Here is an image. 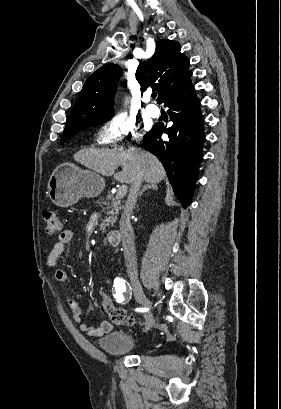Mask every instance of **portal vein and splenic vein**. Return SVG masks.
Masks as SVG:
<instances>
[{
	"label": "portal vein and splenic vein",
	"instance_id": "1",
	"mask_svg": "<svg viewBox=\"0 0 281 409\" xmlns=\"http://www.w3.org/2000/svg\"><path fill=\"white\" fill-rule=\"evenodd\" d=\"M128 185L129 184L126 182L125 184H122L121 186H119V188H118V195L119 196H125L127 194L126 189H127Z\"/></svg>",
	"mask_w": 281,
	"mask_h": 409
}]
</instances>
